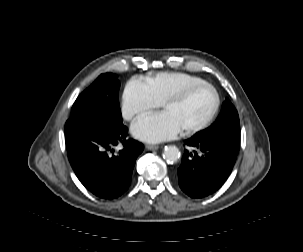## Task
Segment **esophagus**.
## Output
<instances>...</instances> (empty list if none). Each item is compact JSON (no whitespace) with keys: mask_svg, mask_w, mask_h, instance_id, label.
I'll list each match as a JSON object with an SVG mask.
<instances>
[{"mask_svg":"<svg viewBox=\"0 0 303 252\" xmlns=\"http://www.w3.org/2000/svg\"><path fill=\"white\" fill-rule=\"evenodd\" d=\"M145 148H146L147 150H155V149L158 148V145L146 144V145H145Z\"/></svg>","mask_w":303,"mask_h":252,"instance_id":"1","label":"esophagus"}]
</instances>
